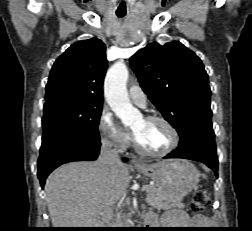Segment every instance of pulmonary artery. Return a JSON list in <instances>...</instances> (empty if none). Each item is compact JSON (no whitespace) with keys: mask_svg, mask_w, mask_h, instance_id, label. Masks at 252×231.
Segmentation results:
<instances>
[{"mask_svg":"<svg viewBox=\"0 0 252 231\" xmlns=\"http://www.w3.org/2000/svg\"><path fill=\"white\" fill-rule=\"evenodd\" d=\"M131 100L138 106L144 107L146 104V95L138 85H131L128 89Z\"/></svg>","mask_w":252,"mask_h":231,"instance_id":"obj_1","label":"pulmonary artery"}]
</instances>
